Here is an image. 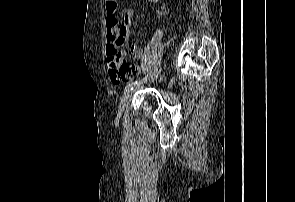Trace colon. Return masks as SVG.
<instances>
[{
	"mask_svg": "<svg viewBox=\"0 0 295 202\" xmlns=\"http://www.w3.org/2000/svg\"><path fill=\"white\" fill-rule=\"evenodd\" d=\"M118 9V3L117 0H107L106 2V10L110 14H112L114 17L111 19H108L107 26H108V41L111 47H117L120 39L117 36L116 32L114 31L115 28L119 26V19L115 16V13ZM116 63V62H114Z\"/></svg>",
	"mask_w": 295,
	"mask_h": 202,
	"instance_id": "5ec220e1",
	"label": "colon"
}]
</instances>
